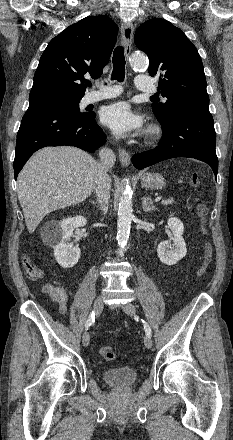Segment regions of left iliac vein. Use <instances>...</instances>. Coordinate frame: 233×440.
<instances>
[{
    "label": "left iliac vein",
    "instance_id": "1",
    "mask_svg": "<svg viewBox=\"0 0 233 440\" xmlns=\"http://www.w3.org/2000/svg\"><path fill=\"white\" fill-rule=\"evenodd\" d=\"M121 309H122L125 313H127V314H129V315H133V314L135 313V307H134V305L131 304V303H127V304L123 305V306L121 307ZM144 344H145V346H146L147 348H151V347H152V339H151V337H149V336L146 335V337H145V339H144Z\"/></svg>",
    "mask_w": 233,
    "mask_h": 440
}]
</instances>
